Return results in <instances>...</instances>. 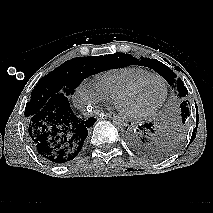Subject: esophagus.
I'll use <instances>...</instances> for the list:
<instances>
[{
    "label": "esophagus",
    "mask_w": 213,
    "mask_h": 213,
    "mask_svg": "<svg viewBox=\"0 0 213 213\" xmlns=\"http://www.w3.org/2000/svg\"><path fill=\"white\" fill-rule=\"evenodd\" d=\"M103 116H104L105 118H112V117L115 116V113H113V112L103 113Z\"/></svg>",
    "instance_id": "34e87169"
}]
</instances>
